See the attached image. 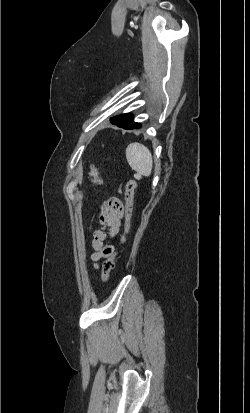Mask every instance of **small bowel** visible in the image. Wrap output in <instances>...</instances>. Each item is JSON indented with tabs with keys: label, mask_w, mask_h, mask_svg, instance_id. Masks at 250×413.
<instances>
[{
	"label": "small bowel",
	"mask_w": 250,
	"mask_h": 413,
	"mask_svg": "<svg viewBox=\"0 0 250 413\" xmlns=\"http://www.w3.org/2000/svg\"><path fill=\"white\" fill-rule=\"evenodd\" d=\"M123 204L118 199H111L105 204L99 213L101 229L93 232L91 247L94 252L90 255V260L95 269H98L99 262L107 258L114 251V246L107 243V239H113L119 232L123 217Z\"/></svg>",
	"instance_id": "small-bowel-1"
}]
</instances>
